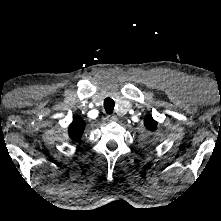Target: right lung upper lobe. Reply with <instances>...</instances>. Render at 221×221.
Wrapping results in <instances>:
<instances>
[{
	"instance_id": "obj_1",
	"label": "right lung upper lobe",
	"mask_w": 221,
	"mask_h": 221,
	"mask_svg": "<svg viewBox=\"0 0 221 221\" xmlns=\"http://www.w3.org/2000/svg\"><path fill=\"white\" fill-rule=\"evenodd\" d=\"M85 121L81 117H75L69 126V136L73 141H79L85 128Z\"/></svg>"
}]
</instances>
